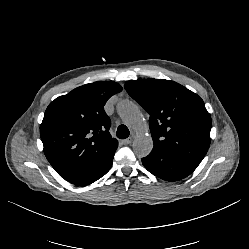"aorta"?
<instances>
[{
  "mask_svg": "<svg viewBox=\"0 0 249 249\" xmlns=\"http://www.w3.org/2000/svg\"><path fill=\"white\" fill-rule=\"evenodd\" d=\"M117 112L121 119L135 131L133 151L137 157L149 155L153 149V139L143 115L135 103L130 100H121L117 104Z\"/></svg>",
  "mask_w": 249,
  "mask_h": 249,
  "instance_id": "1",
  "label": "aorta"
}]
</instances>
